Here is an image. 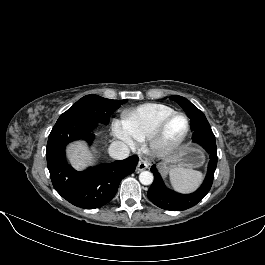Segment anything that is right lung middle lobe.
Listing matches in <instances>:
<instances>
[{
    "mask_svg": "<svg viewBox=\"0 0 265 265\" xmlns=\"http://www.w3.org/2000/svg\"><path fill=\"white\" fill-rule=\"evenodd\" d=\"M126 101L106 99L98 95H86L64 112L56 123L80 119L107 125L112 113Z\"/></svg>",
    "mask_w": 265,
    "mask_h": 265,
    "instance_id": "dd1d6c3e",
    "label": "right lung middle lobe"
}]
</instances>
